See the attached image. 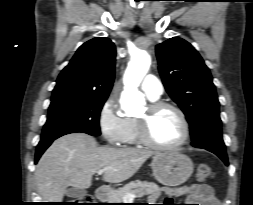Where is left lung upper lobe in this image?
<instances>
[{"label": "left lung upper lobe", "mask_w": 253, "mask_h": 205, "mask_svg": "<svg viewBox=\"0 0 253 205\" xmlns=\"http://www.w3.org/2000/svg\"><path fill=\"white\" fill-rule=\"evenodd\" d=\"M156 55L166 91L190 124L191 145L225 151L219 101L199 53L187 41L173 37L156 46Z\"/></svg>", "instance_id": "1"}]
</instances>
